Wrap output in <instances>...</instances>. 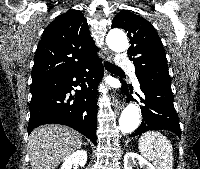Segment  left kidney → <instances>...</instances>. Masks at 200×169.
Masks as SVG:
<instances>
[{"mask_svg": "<svg viewBox=\"0 0 200 169\" xmlns=\"http://www.w3.org/2000/svg\"><path fill=\"white\" fill-rule=\"evenodd\" d=\"M139 164L143 169H156L145 158L134 152H128L124 156V169H133L134 165Z\"/></svg>", "mask_w": 200, "mask_h": 169, "instance_id": "5707ae66", "label": "left kidney"}]
</instances>
